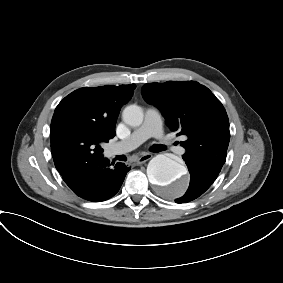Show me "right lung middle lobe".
Listing matches in <instances>:
<instances>
[{
	"label": "right lung middle lobe",
	"instance_id": "obj_1",
	"mask_svg": "<svg viewBox=\"0 0 283 283\" xmlns=\"http://www.w3.org/2000/svg\"><path fill=\"white\" fill-rule=\"evenodd\" d=\"M71 140L73 159L77 164L102 155L103 149L100 144L106 142L95 134L78 132L71 134Z\"/></svg>",
	"mask_w": 283,
	"mask_h": 283
}]
</instances>
